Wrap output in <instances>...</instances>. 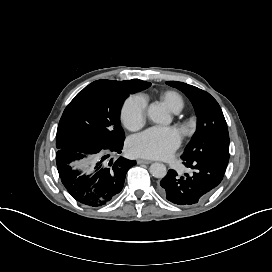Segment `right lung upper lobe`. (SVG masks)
I'll list each match as a JSON object with an SVG mask.
<instances>
[{"instance_id": "cb5924a9", "label": "right lung upper lobe", "mask_w": 272, "mask_h": 272, "mask_svg": "<svg viewBox=\"0 0 272 272\" xmlns=\"http://www.w3.org/2000/svg\"><path fill=\"white\" fill-rule=\"evenodd\" d=\"M97 82H114V83H121V82H124V81H113V80H104V79H101V80H97Z\"/></svg>"}]
</instances>
